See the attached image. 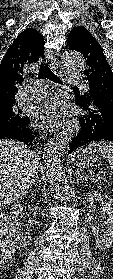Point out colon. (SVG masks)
I'll use <instances>...</instances> for the list:
<instances>
[{
  "instance_id": "colon-1",
  "label": "colon",
  "mask_w": 113,
  "mask_h": 279,
  "mask_svg": "<svg viewBox=\"0 0 113 279\" xmlns=\"http://www.w3.org/2000/svg\"><path fill=\"white\" fill-rule=\"evenodd\" d=\"M12 239L10 237V229L8 223L0 212V261L7 259L12 253Z\"/></svg>"
}]
</instances>
